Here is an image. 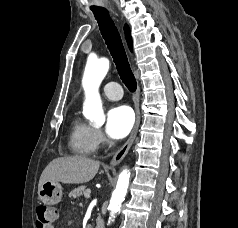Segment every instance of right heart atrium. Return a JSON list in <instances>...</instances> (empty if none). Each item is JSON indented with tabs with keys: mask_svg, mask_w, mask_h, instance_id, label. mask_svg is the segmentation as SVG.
Listing matches in <instances>:
<instances>
[{
	"mask_svg": "<svg viewBox=\"0 0 238 228\" xmlns=\"http://www.w3.org/2000/svg\"><path fill=\"white\" fill-rule=\"evenodd\" d=\"M93 137H94V140H95L97 146L101 145L105 142L104 135H103L102 131L98 128L93 129Z\"/></svg>",
	"mask_w": 238,
	"mask_h": 228,
	"instance_id": "d8ad5b80",
	"label": "right heart atrium"
}]
</instances>
